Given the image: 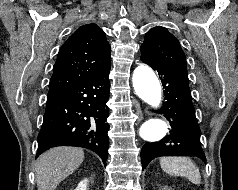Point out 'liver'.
I'll return each mask as SVG.
<instances>
[{
  "label": "liver",
  "mask_w": 238,
  "mask_h": 190,
  "mask_svg": "<svg viewBox=\"0 0 238 190\" xmlns=\"http://www.w3.org/2000/svg\"><path fill=\"white\" fill-rule=\"evenodd\" d=\"M83 160V149L77 147H55L44 152L35 163L38 190H55Z\"/></svg>",
  "instance_id": "1"
}]
</instances>
